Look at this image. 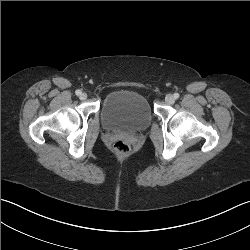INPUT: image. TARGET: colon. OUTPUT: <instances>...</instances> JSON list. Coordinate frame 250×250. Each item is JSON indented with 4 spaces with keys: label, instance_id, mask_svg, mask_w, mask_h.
I'll list each match as a JSON object with an SVG mask.
<instances>
[{
    "label": "colon",
    "instance_id": "obj_1",
    "mask_svg": "<svg viewBox=\"0 0 250 250\" xmlns=\"http://www.w3.org/2000/svg\"><path fill=\"white\" fill-rule=\"evenodd\" d=\"M112 150L119 156H125L130 152V144L124 139H117L112 143Z\"/></svg>",
    "mask_w": 250,
    "mask_h": 250
}]
</instances>
